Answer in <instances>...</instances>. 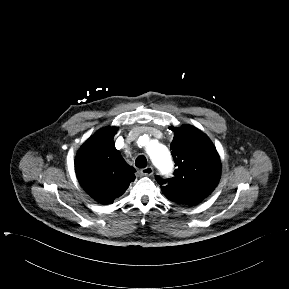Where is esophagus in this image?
Wrapping results in <instances>:
<instances>
[{"label":"esophagus","mask_w":289,"mask_h":289,"mask_svg":"<svg viewBox=\"0 0 289 289\" xmlns=\"http://www.w3.org/2000/svg\"><path fill=\"white\" fill-rule=\"evenodd\" d=\"M153 168L151 166H148L146 168L141 169V174L143 176H150L153 174Z\"/></svg>","instance_id":"obj_1"}]
</instances>
